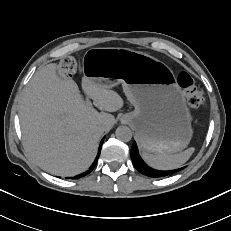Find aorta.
Segmentation results:
<instances>
[{
    "label": "aorta",
    "mask_w": 231,
    "mask_h": 231,
    "mask_svg": "<svg viewBox=\"0 0 231 231\" xmlns=\"http://www.w3.org/2000/svg\"><path fill=\"white\" fill-rule=\"evenodd\" d=\"M116 137L123 142H129L132 138V131L127 126H119L116 129Z\"/></svg>",
    "instance_id": "762f6f07"
}]
</instances>
